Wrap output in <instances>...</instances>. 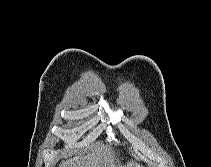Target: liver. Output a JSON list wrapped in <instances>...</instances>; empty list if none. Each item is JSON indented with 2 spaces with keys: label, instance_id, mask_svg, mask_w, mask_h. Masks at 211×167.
<instances>
[{
  "label": "liver",
  "instance_id": "6515ba94",
  "mask_svg": "<svg viewBox=\"0 0 211 167\" xmlns=\"http://www.w3.org/2000/svg\"><path fill=\"white\" fill-rule=\"evenodd\" d=\"M59 167H140V165L134 161L123 165L111 147L97 145L92 153L63 161Z\"/></svg>",
  "mask_w": 211,
  "mask_h": 167
}]
</instances>
